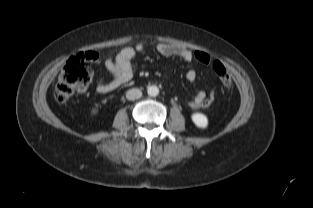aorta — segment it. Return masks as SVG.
Returning a JSON list of instances; mask_svg holds the SVG:
<instances>
[{
    "label": "aorta",
    "instance_id": "obj_1",
    "mask_svg": "<svg viewBox=\"0 0 313 208\" xmlns=\"http://www.w3.org/2000/svg\"><path fill=\"white\" fill-rule=\"evenodd\" d=\"M147 93L149 96L155 97L159 94V89L157 86L152 85L147 88Z\"/></svg>",
    "mask_w": 313,
    "mask_h": 208
}]
</instances>
